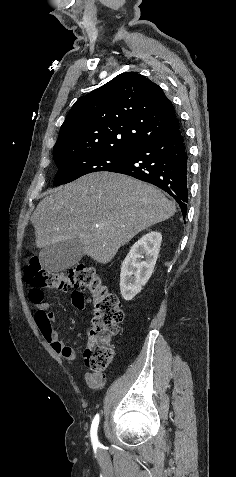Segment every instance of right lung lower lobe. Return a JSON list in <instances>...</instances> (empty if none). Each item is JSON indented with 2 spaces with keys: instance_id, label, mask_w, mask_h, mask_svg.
Wrapping results in <instances>:
<instances>
[{
  "instance_id": "obj_1",
  "label": "right lung lower lobe",
  "mask_w": 236,
  "mask_h": 477,
  "mask_svg": "<svg viewBox=\"0 0 236 477\" xmlns=\"http://www.w3.org/2000/svg\"><path fill=\"white\" fill-rule=\"evenodd\" d=\"M110 172L129 175L161 188L176 200L185 217L189 192L188 151L179 123L168 135L130 152L128 161Z\"/></svg>"
}]
</instances>
